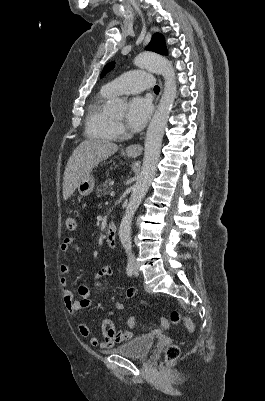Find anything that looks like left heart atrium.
Here are the masks:
<instances>
[{"mask_svg": "<svg viewBox=\"0 0 265 401\" xmlns=\"http://www.w3.org/2000/svg\"><path fill=\"white\" fill-rule=\"evenodd\" d=\"M152 112L150 103L141 98L134 97L128 103L127 121L133 130H140L147 122Z\"/></svg>", "mask_w": 265, "mask_h": 401, "instance_id": "left-heart-atrium-1", "label": "left heart atrium"}]
</instances>
